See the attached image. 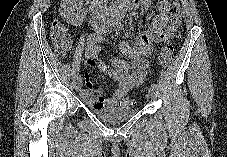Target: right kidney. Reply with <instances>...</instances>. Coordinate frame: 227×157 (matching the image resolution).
I'll return each instance as SVG.
<instances>
[{
    "mask_svg": "<svg viewBox=\"0 0 227 157\" xmlns=\"http://www.w3.org/2000/svg\"><path fill=\"white\" fill-rule=\"evenodd\" d=\"M73 2L75 1H62L59 12L66 22L77 25L80 21V16L74 13L75 6Z\"/></svg>",
    "mask_w": 227,
    "mask_h": 157,
    "instance_id": "ca27d5eb",
    "label": "right kidney"
}]
</instances>
